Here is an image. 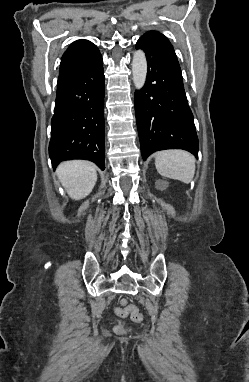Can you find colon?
Segmentation results:
<instances>
[{
    "instance_id": "obj_1",
    "label": "colon",
    "mask_w": 249,
    "mask_h": 382,
    "mask_svg": "<svg viewBox=\"0 0 249 382\" xmlns=\"http://www.w3.org/2000/svg\"><path fill=\"white\" fill-rule=\"evenodd\" d=\"M122 308L119 310H116V314L123 318L127 316L128 314L131 315V318L135 322H141L143 320L142 315L138 311L137 307L135 305L129 304L126 300L121 301ZM115 331L117 333H124L126 331V327L122 322H118V324L115 327Z\"/></svg>"
}]
</instances>
